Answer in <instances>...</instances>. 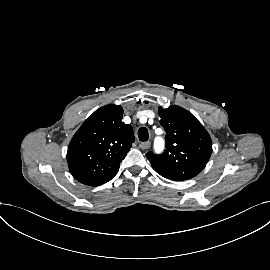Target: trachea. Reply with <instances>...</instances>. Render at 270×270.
Wrapping results in <instances>:
<instances>
[{
	"instance_id": "trachea-1",
	"label": "trachea",
	"mask_w": 270,
	"mask_h": 270,
	"mask_svg": "<svg viewBox=\"0 0 270 270\" xmlns=\"http://www.w3.org/2000/svg\"><path fill=\"white\" fill-rule=\"evenodd\" d=\"M138 137H139V140L142 141V142L148 141L149 135H148L147 128L141 127L138 130Z\"/></svg>"
}]
</instances>
